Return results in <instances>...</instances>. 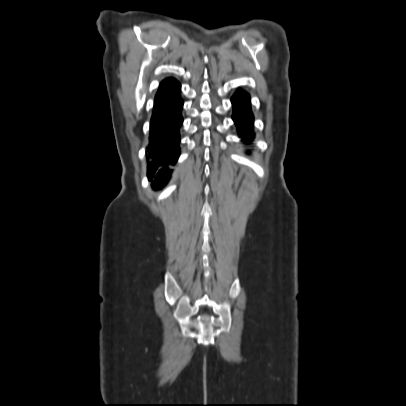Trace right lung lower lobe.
Returning <instances> with one entry per match:
<instances>
[{"label": "right lung lower lobe", "mask_w": 406, "mask_h": 406, "mask_svg": "<svg viewBox=\"0 0 406 406\" xmlns=\"http://www.w3.org/2000/svg\"><path fill=\"white\" fill-rule=\"evenodd\" d=\"M180 85L168 78L162 82L155 97L154 111L151 118L150 144L147 147L151 163L148 165V178L155 175L153 186L162 187L170 179L174 164L179 155V128L182 124Z\"/></svg>", "instance_id": "right-lung-lower-lobe-1"}]
</instances>
